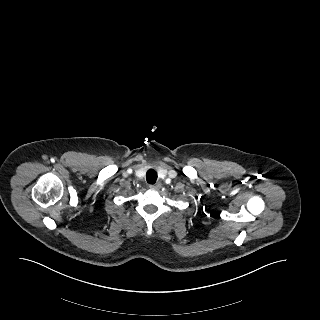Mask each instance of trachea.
Instances as JSON below:
<instances>
[{
	"label": "trachea",
	"instance_id": "1",
	"mask_svg": "<svg viewBox=\"0 0 320 320\" xmlns=\"http://www.w3.org/2000/svg\"><path fill=\"white\" fill-rule=\"evenodd\" d=\"M146 180L149 184H154L157 180V173L154 170H149L146 174Z\"/></svg>",
	"mask_w": 320,
	"mask_h": 320
}]
</instances>
